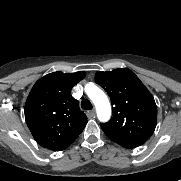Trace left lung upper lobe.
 <instances>
[{
  "label": "left lung upper lobe",
  "instance_id": "obj_1",
  "mask_svg": "<svg viewBox=\"0 0 181 181\" xmlns=\"http://www.w3.org/2000/svg\"><path fill=\"white\" fill-rule=\"evenodd\" d=\"M95 81L108 93L113 116L100 126L106 136L127 149L144 144L154 133L157 107L149 90L127 68L97 71Z\"/></svg>",
  "mask_w": 181,
  "mask_h": 181
}]
</instances>
